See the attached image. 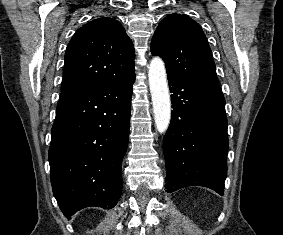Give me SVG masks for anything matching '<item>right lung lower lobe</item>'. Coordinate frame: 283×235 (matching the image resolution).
Segmentation results:
<instances>
[{"label": "right lung lower lobe", "instance_id": "obj_1", "mask_svg": "<svg viewBox=\"0 0 283 235\" xmlns=\"http://www.w3.org/2000/svg\"><path fill=\"white\" fill-rule=\"evenodd\" d=\"M135 74L60 98L51 132V184L68 218L80 209L113 208L123 180Z\"/></svg>", "mask_w": 283, "mask_h": 235}]
</instances>
